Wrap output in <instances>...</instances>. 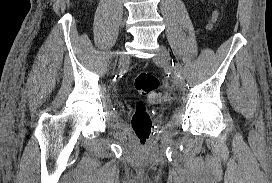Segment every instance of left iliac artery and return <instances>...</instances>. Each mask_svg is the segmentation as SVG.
<instances>
[{
    "instance_id": "1",
    "label": "left iliac artery",
    "mask_w": 272,
    "mask_h": 183,
    "mask_svg": "<svg viewBox=\"0 0 272 183\" xmlns=\"http://www.w3.org/2000/svg\"><path fill=\"white\" fill-rule=\"evenodd\" d=\"M172 66L174 67V74L177 78H179L180 80H183L184 79V73H183V69L182 67L177 64V63H174L172 61Z\"/></svg>"
}]
</instances>
